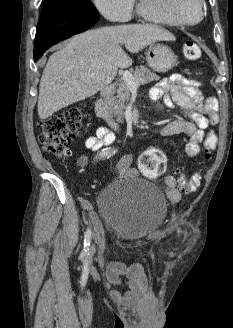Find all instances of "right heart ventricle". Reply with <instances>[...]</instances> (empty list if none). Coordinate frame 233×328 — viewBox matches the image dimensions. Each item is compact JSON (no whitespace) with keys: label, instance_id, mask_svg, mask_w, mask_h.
<instances>
[{"label":"right heart ventricle","instance_id":"obj_1","mask_svg":"<svg viewBox=\"0 0 233 328\" xmlns=\"http://www.w3.org/2000/svg\"><path fill=\"white\" fill-rule=\"evenodd\" d=\"M137 12L138 14L143 17L144 19L148 20V21H153V22H157V23H164V22H159V21H156L155 19H153L152 17H150L142 8L141 6V3H139L137 5ZM166 24V23H164Z\"/></svg>","mask_w":233,"mask_h":328}]
</instances>
